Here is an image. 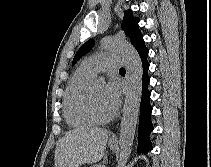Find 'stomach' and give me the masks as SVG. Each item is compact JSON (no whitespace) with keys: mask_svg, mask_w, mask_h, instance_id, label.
I'll return each instance as SVG.
<instances>
[{"mask_svg":"<svg viewBox=\"0 0 211 167\" xmlns=\"http://www.w3.org/2000/svg\"><path fill=\"white\" fill-rule=\"evenodd\" d=\"M109 147L110 149L115 150L117 148V145L112 142H109Z\"/></svg>","mask_w":211,"mask_h":167,"instance_id":"obj_1","label":"stomach"}]
</instances>
